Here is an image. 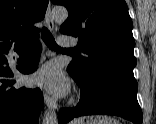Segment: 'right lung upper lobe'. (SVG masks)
Returning a JSON list of instances; mask_svg holds the SVG:
<instances>
[{"instance_id":"1","label":"right lung upper lobe","mask_w":156,"mask_h":124,"mask_svg":"<svg viewBox=\"0 0 156 124\" xmlns=\"http://www.w3.org/2000/svg\"><path fill=\"white\" fill-rule=\"evenodd\" d=\"M49 0H0V48L23 47L38 32Z\"/></svg>"}]
</instances>
